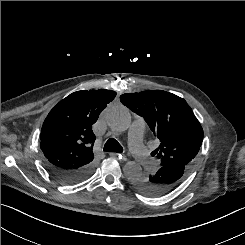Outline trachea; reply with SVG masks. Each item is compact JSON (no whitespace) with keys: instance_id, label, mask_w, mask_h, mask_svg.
<instances>
[{"instance_id":"obj_1","label":"trachea","mask_w":245,"mask_h":245,"mask_svg":"<svg viewBox=\"0 0 245 245\" xmlns=\"http://www.w3.org/2000/svg\"><path fill=\"white\" fill-rule=\"evenodd\" d=\"M103 150L106 151V152H118V153H122L123 152L122 146L114 138H110V139L107 140V142L104 145Z\"/></svg>"}]
</instances>
